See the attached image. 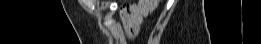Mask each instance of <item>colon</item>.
I'll return each mask as SVG.
<instances>
[{"mask_svg": "<svg viewBox=\"0 0 261 44\" xmlns=\"http://www.w3.org/2000/svg\"><path fill=\"white\" fill-rule=\"evenodd\" d=\"M140 2L144 3L147 10L152 13L157 5V0H141ZM129 6H126L125 9H127Z\"/></svg>", "mask_w": 261, "mask_h": 44, "instance_id": "1", "label": "colon"}]
</instances>
